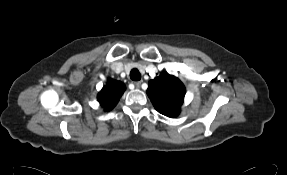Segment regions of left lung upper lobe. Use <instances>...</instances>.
<instances>
[{
    "label": "left lung upper lobe",
    "mask_w": 287,
    "mask_h": 175,
    "mask_svg": "<svg viewBox=\"0 0 287 175\" xmlns=\"http://www.w3.org/2000/svg\"><path fill=\"white\" fill-rule=\"evenodd\" d=\"M182 82L167 72L149 81L147 94L155 109L168 117H177L185 96Z\"/></svg>",
    "instance_id": "1"
}]
</instances>
